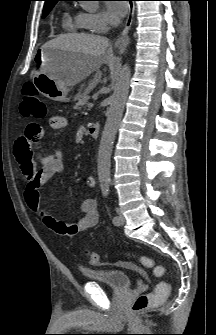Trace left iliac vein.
<instances>
[{"label": "left iliac vein", "instance_id": "obj_1", "mask_svg": "<svg viewBox=\"0 0 216 335\" xmlns=\"http://www.w3.org/2000/svg\"><path fill=\"white\" fill-rule=\"evenodd\" d=\"M118 218L119 220L114 223L115 225L121 226L125 223V217L123 216L122 212L120 210H117Z\"/></svg>", "mask_w": 216, "mask_h": 335}]
</instances>
